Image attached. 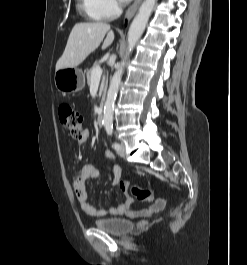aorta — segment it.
Returning a JSON list of instances; mask_svg holds the SVG:
<instances>
[{
  "instance_id": "obj_1",
  "label": "aorta",
  "mask_w": 247,
  "mask_h": 265,
  "mask_svg": "<svg viewBox=\"0 0 247 265\" xmlns=\"http://www.w3.org/2000/svg\"><path fill=\"white\" fill-rule=\"evenodd\" d=\"M157 0H144L140 6L139 12L132 21L127 37V49L124 59L119 63L117 69L111 79L110 86L107 93V98L104 105L103 121L104 126H111L113 123L114 104L121 83L123 69L130 53L134 49L137 41L142 36L148 20L153 11Z\"/></svg>"
}]
</instances>
